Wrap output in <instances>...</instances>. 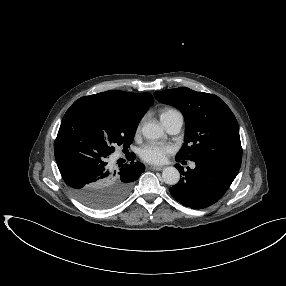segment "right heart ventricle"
Listing matches in <instances>:
<instances>
[{"instance_id": "1", "label": "right heart ventricle", "mask_w": 286, "mask_h": 286, "mask_svg": "<svg viewBox=\"0 0 286 286\" xmlns=\"http://www.w3.org/2000/svg\"><path fill=\"white\" fill-rule=\"evenodd\" d=\"M179 111H177L176 109H173V108H165L161 111V114H160V118H161V121L162 123L168 119L170 116L178 113Z\"/></svg>"}]
</instances>
